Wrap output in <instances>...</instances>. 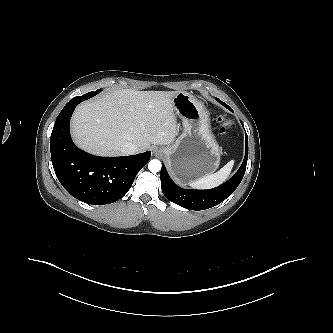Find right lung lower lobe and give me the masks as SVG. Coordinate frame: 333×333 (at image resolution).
Segmentation results:
<instances>
[{
    "label": "right lung lower lobe",
    "mask_w": 333,
    "mask_h": 333,
    "mask_svg": "<svg viewBox=\"0 0 333 333\" xmlns=\"http://www.w3.org/2000/svg\"><path fill=\"white\" fill-rule=\"evenodd\" d=\"M79 101L68 103L54 124L50 150L55 174L76 199L105 205L122 198L130 189L151 152L124 157H99L77 148L70 136V118Z\"/></svg>",
    "instance_id": "1"
}]
</instances>
